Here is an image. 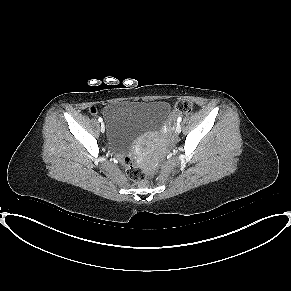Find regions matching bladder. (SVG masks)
<instances>
[{"label":"bladder","instance_id":"1","mask_svg":"<svg viewBox=\"0 0 291 291\" xmlns=\"http://www.w3.org/2000/svg\"><path fill=\"white\" fill-rule=\"evenodd\" d=\"M170 114L166 101H114L104 110V128L110 145L128 147L137 137L158 130Z\"/></svg>","mask_w":291,"mask_h":291}]
</instances>
